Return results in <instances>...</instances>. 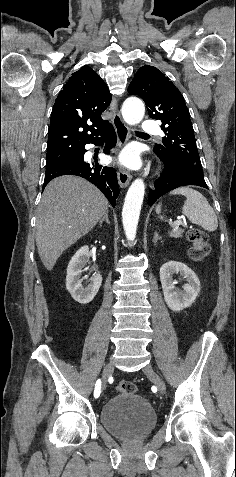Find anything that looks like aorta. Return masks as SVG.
I'll list each match as a JSON object with an SVG mask.
<instances>
[{
    "instance_id": "762f6f07",
    "label": "aorta",
    "mask_w": 236,
    "mask_h": 477,
    "mask_svg": "<svg viewBox=\"0 0 236 477\" xmlns=\"http://www.w3.org/2000/svg\"><path fill=\"white\" fill-rule=\"evenodd\" d=\"M145 114V106L137 97L127 98L122 105V116L129 125L140 123ZM145 194L143 179L134 180L129 187L122 210V222L126 238L134 240L136 236L139 215Z\"/></svg>"
}]
</instances>
